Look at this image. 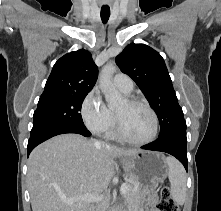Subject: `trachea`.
Masks as SVG:
<instances>
[{"instance_id": "obj_1", "label": "trachea", "mask_w": 221, "mask_h": 211, "mask_svg": "<svg viewBox=\"0 0 221 211\" xmlns=\"http://www.w3.org/2000/svg\"><path fill=\"white\" fill-rule=\"evenodd\" d=\"M110 17V8H101V20L104 24L107 23Z\"/></svg>"}]
</instances>
